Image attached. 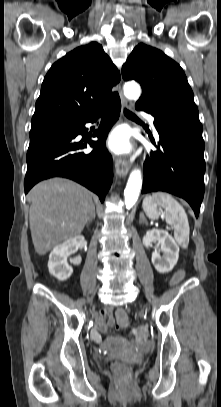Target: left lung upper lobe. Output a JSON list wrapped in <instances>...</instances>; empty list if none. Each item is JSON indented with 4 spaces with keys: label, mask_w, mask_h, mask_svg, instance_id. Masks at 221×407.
<instances>
[{
    "label": "left lung upper lobe",
    "mask_w": 221,
    "mask_h": 407,
    "mask_svg": "<svg viewBox=\"0 0 221 407\" xmlns=\"http://www.w3.org/2000/svg\"><path fill=\"white\" fill-rule=\"evenodd\" d=\"M122 77L141 84L142 96L135 106L153 115L178 110L198 112L182 68L154 47L143 43L136 46L122 67Z\"/></svg>",
    "instance_id": "1"
}]
</instances>
